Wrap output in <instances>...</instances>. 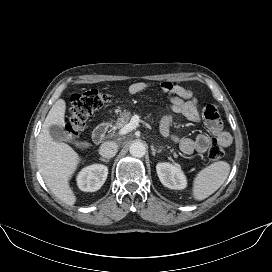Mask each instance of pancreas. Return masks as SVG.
Instances as JSON below:
<instances>
[{
    "instance_id": "1",
    "label": "pancreas",
    "mask_w": 272,
    "mask_h": 272,
    "mask_svg": "<svg viewBox=\"0 0 272 272\" xmlns=\"http://www.w3.org/2000/svg\"><path fill=\"white\" fill-rule=\"evenodd\" d=\"M130 118V112H123L117 119L114 129H121L124 127L126 124H128Z\"/></svg>"
}]
</instances>
